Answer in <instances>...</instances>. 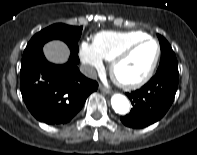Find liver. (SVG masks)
Here are the masks:
<instances>
[{
  "label": "liver",
  "instance_id": "6515ba94",
  "mask_svg": "<svg viewBox=\"0 0 197 155\" xmlns=\"http://www.w3.org/2000/svg\"><path fill=\"white\" fill-rule=\"evenodd\" d=\"M43 51L46 58L53 63H64L69 56L67 46L58 40L47 43Z\"/></svg>",
  "mask_w": 197,
  "mask_h": 155
}]
</instances>
